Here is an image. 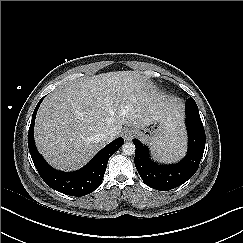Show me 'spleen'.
<instances>
[{
  "instance_id": "1",
  "label": "spleen",
  "mask_w": 243,
  "mask_h": 243,
  "mask_svg": "<svg viewBox=\"0 0 243 243\" xmlns=\"http://www.w3.org/2000/svg\"><path fill=\"white\" fill-rule=\"evenodd\" d=\"M186 142L182 134L172 135L166 141L161 143L157 152L160 160L164 162H174L179 160L185 153Z\"/></svg>"
}]
</instances>
